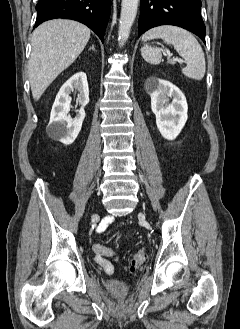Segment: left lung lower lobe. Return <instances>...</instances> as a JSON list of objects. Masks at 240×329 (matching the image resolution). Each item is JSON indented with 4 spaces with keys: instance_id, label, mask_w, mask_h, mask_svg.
Returning a JSON list of instances; mask_svg holds the SVG:
<instances>
[{
    "instance_id": "0a47b994",
    "label": "left lung lower lobe",
    "mask_w": 240,
    "mask_h": 329,
    "mask_svg": "<svg viewBox=\"0 0 240 329\" xmlns=\"http://www.w3.org/2000/svg\"><path fill=\"white\" fill-rule=\"evenodd\" d=\"M160 25H175L199 36L205 43L206 27L200 0H141L139 36Z\"/></svg>"
}]
</instances>
